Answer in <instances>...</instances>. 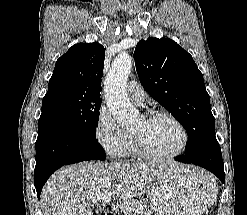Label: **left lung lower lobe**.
<instances>
[{"label":"left lung lower lobe","mask_w":247,"mask_h":215,"mask_svg":"<svg viewBox=\"0 0 247 215\" xmlns=\"http://www.w3.org/2000/svg\"><path fill=\"white\" fill-rule=\"evenodd\" d=\"M195 145L196 147L192 154L181 155L175 160L201 166L215 174L224 183V166L217 140H200Z\"/></svg>","instance_id":"obj_1"}]
</instances>
